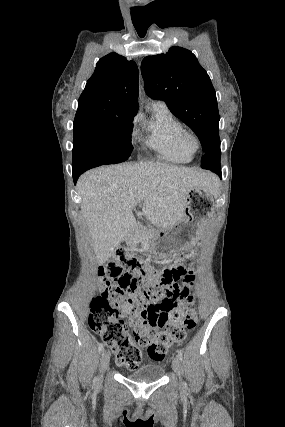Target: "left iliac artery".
Instances as JSON below:
<instances>
[{
  "instance_id": "left-iliac-artery-1",
  "label": "left iliac artery",
  "mask_w": 285,
  "mask_h": 427,
  "mask_svg": "<svg viewBox=\"0 0 285 427\" xmlns=\"http://www.w3.org/2000/svg\"><path fill=\"white\" fill-rule=\"evenodd\" d=\"M177 356L182 361L183 360V351L182 350H177ZM184 385H185V383H184Z\"/></svg>"
}]
</instances>
